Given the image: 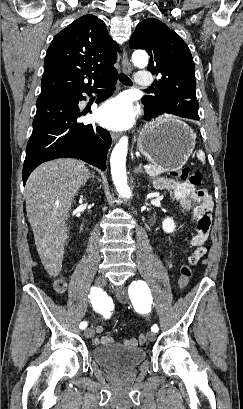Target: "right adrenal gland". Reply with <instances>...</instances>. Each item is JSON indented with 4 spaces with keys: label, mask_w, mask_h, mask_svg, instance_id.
Returning a JSON list of instances; mask_svg holds the SVG:
<instances>
[{
    "label": "right adrenal gland",
    "mask_w": 243,
    "mask_h": 409,
    "mask_svg": "<svg viewBox=\"0 0 243 409\" xmlns=\"http://www.w3.org/2000/svg\"><path fill=\"white\" fill-rule=\"evenodd\" d=\"M94 173H92V174H89V176L87 177V179H86V181L84 182V184H83V186H85V184H86V182H87V180L89 179V178H92V179H94Z\"/></svg>",
    "instance_id": "2a0ac1e0"
}]
</instances>
